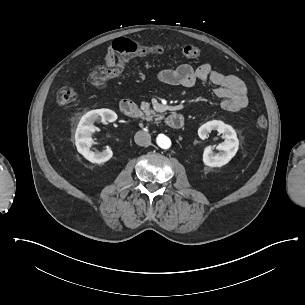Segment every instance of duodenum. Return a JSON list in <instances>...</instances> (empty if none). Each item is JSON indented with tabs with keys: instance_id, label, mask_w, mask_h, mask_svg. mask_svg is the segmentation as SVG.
I'll return each instance as SVG.
<instances>
[{
	"instance_id": "duodenum-1",
	"label": "duodenum",
	"mask_w": 305,
	"mask_h": 305,
	"mask_svg": "<svg viewBox=\"0 0 305 305\" xmlns=\"http://www.w3.org/2000/svg\"><path fill=\"white\" fill-rule=\"evenodd\" d=\"M120 110L126 117H137L140 114L138 105L127 99L120 103ZM166 124L171 129H180L184 125V118L178 113H171L166 117Z\"/></svg>"
}]
</instances>
